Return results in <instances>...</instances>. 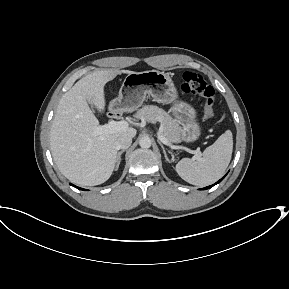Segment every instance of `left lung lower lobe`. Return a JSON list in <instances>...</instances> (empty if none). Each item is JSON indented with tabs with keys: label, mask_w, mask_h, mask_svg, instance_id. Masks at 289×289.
Here are the masks:
<instances>
[{
	"label": "left lung lower lobe",
	"mask_w": 289,
	"mask_h": 289,
	"mask_svg": "<svg viewBox=\"0 0 289 289\" xmlns=\"http://www.w3.org/2000/svg\"><path fill=\"white\" fill-rule=\"evenodd\" d=\"M224 177H225V176H224ZM224 177H223V178H224ZM223 178H222V179H223ZM222 179H220V180H219L218 182H216L214 185H216L217 183H219ZM214 185H211V186L205 187L204 189L211 188V187H213Z\"/></svg>",
	"instance_id": "1"
}]
</instances>
